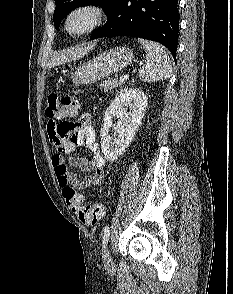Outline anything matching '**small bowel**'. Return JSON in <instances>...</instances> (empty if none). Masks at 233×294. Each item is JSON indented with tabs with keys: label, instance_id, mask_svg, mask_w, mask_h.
I'll use <instances>...</instances> for the list:
<instances>
[{
	"label": "small bowel",
	"instance_id": "1",
	"mask_svg": "<svg viewBox=\"0 0 233 294\" xmlns=\"http://www.w3.org/2000/svg\"><path fill=\"white\" fill-rule=\"evenodd\" d=\"M47 132L52 146L57 150V153L52 156V164L60 187L83 190L103 183L105 160L99 150L96 133L88 115L82 116L76 122L52 117L48 123ZM78 147L88 150L91 157L65 158ZM72 168L86 173V178H79L71 171Z\"/></svg>",
	"mask_w": 233,
	"mask_h": 294
}]
</instances>
